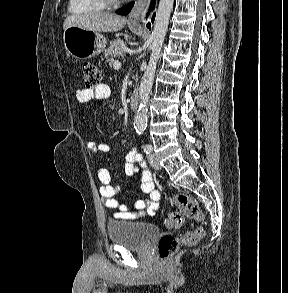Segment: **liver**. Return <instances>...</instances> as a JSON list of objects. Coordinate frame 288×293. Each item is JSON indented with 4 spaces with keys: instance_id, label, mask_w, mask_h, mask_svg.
Masks as SVG:
<instances>
[{
    "instance_id": "liver-1",
    "label": "liver",
    "mask_w": 288,
    "mask_h": 293,
    "mask_svg": "<svg viewBox=\"0 0 288 293\" xmlns=\"http://www.w3.org/2000/svg\"><path fill=\"white\" fill-rule=\"evenodd\" d=\"M126 24V19L109 12L72 14L63 23V29L74 25L96 32H117Z\"/></svg>"
}]
</instances>
